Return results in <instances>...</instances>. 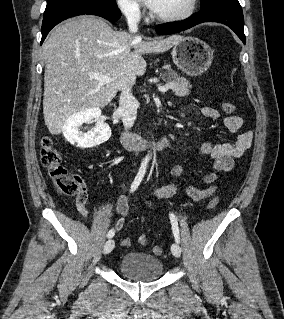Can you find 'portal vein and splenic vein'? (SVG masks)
<instances>
[{
  "label": "portal vein and splenic vein",
  "instance_id": "18ae733b",
  "mask_svg": "<svg viewBox=\"0 0 284 319\" xmlns=\"http://www.w3.org/2000/svg\"><path fill=\"white\" fill-rule=\"evenodd\" d=\"M93 79L97 80L99 84L104 85L112 82V78L104 75L94 74L91 76ZM172 86V84H167L165 86H159L158 90L162 93L168 91V89Z\"/></svg>",
  "mask_w": 284,
  "mask_h": 319
}]
</instances>
